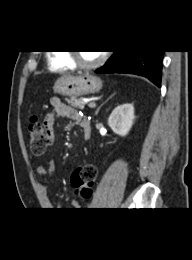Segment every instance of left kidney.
I'll list each match as a JSON object with an SVG mask.
<instances>
[{"label":"left kidney","instance_id":"5707ae66","mask_svg":"<svg viewBox=\"0 0 192 260\" xmlns=\"http://www.w3.org/2000/svg\"><path fill=\"white\" fill-rule=\"evenodd\" d=\"M134 106L126 103L117 106L108 118L109 127L118 135L126 136L134 122Z\"/></svg>","mask_w":192,"mask_h":260}]
</instances>
